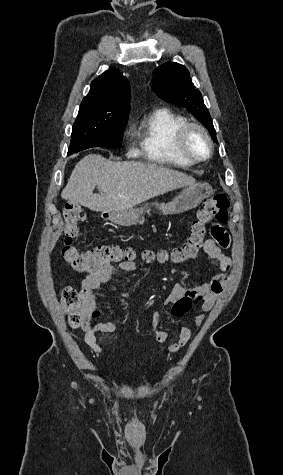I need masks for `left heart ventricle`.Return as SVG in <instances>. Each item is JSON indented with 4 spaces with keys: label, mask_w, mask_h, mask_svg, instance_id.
<instances>
[{
    "label": "left heart ventricle",
    "mask_w": 283,
    "mask_h": 475,
    "mask_svg": "<svg viewBox=\"0 0 283 475\" xmlns=\"http://www.w3.org/2000/svg\"><path fill=\"white\" fill-rule=\"evenodd\" d=\"M166 151L172 156H178L183 152L191 156L203 157L208 152V144L205 138L196 130L189 132L186 143L182 149L174 145H168Z\"/></svg>",
    "instance_id": "obj_1"
}]
</instances>
